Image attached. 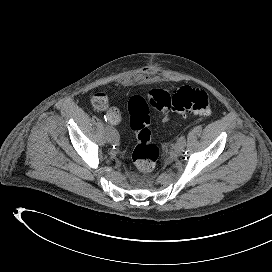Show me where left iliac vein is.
Masks as SVG:
<instances>
[{"mask_svg":"<svg viewBox=\"0 0 272 272\" xmlns=\"http://www.w3.org/2000/svg\"><path fill=\"white\" fill-rule=\"evenodd\" d=\"M181 152H182V148H181L178 144H176V145L174 146V148H173V153H174L175 155H180Z\"/></svg>","mask_w":272,"mask_h":272,"instance_id":"1","label":"left iliac vein"}]
</instances>
